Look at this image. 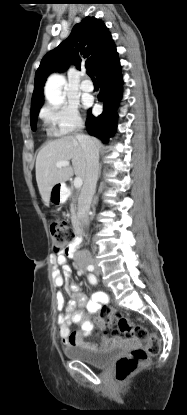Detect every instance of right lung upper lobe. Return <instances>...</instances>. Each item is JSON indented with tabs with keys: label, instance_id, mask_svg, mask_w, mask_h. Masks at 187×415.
<instances>
[{
	"label": "right lung upper lobe",
	"instance_id": "right-lung-upper-lobe-1",
	"mask_svg": "<svg viewBox=\"0 0 187 415\" xmlns=\"http://www.w3.org/2000/svg\"><path fill=\"white\" fill-rule=\"evenodd\" d=\"M116 54V47L105 24L95 17H86L73 27L65 41L43 57L35 75L31 112L42 106L47 77L52 72L68 69L69 56L77 69L85 66L97 76Z\"/></svg>",
	"mask_w": 187,
	"mask_h": 415
}]
</instances>
